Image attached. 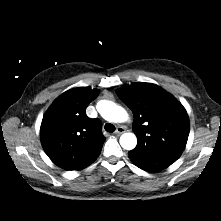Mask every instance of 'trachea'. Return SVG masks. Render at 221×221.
Instances as JSON below:
<instances>
[{
  "mask_svg": "<svg viewBox=\"0 0 221 221\" xmlns=\"http://www.w3.org/2000/svg\"><path fill=\"white\" fill-rule=\"evenodd\" d=\"M104 128L107 132H110V133L115 131V126L111 123H106Z\"/></svg>",
  "mask_w": 221,
  "mask_h": 221,
  "instance_id": "1",
  "label": "trachea"
}]
</instances>
